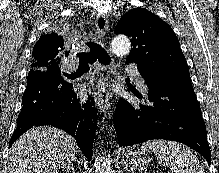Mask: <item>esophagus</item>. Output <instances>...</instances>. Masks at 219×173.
I'll list each match as a JSON object with an SVG mask.
<instances>
[{
	"mask_svg": "<svg viewBox=\"0 0 219 173\" xmlns=\"http://www.w3.org/2000/svg\"><path fill=\"white\" fill-rule=\"evenodd\" d=\"M108 21L105 15L98 14L95 17V29L98 38H103L107 31ZM108 80L106 78L99 79L96 85L95 102L103 113H107L110 107L109 103Z\"/></svg>",
	"mask_w": 219,
	"mask_h": 173,
	"instance_id": "obj_1",
	"label": "esophagus"
}]
</instances>
